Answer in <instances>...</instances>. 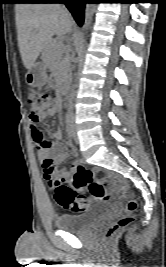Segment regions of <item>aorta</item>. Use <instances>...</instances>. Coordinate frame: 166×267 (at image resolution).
<instances>
[{"label":"aorta","instance_id":"aorta-1","mask_svg":"<svg viewBox=\"0 0 166 267\" xmlns=\"http://www.w3.org/2000/svg\"><path fill=\"white\" fill-rule=\"evenodd\" d=\"M94 12H95V4L87 3L85 7V23H84L85 29H88L90 27Z\"/></svg>","mask_w":166,"mask_h":267}]
</instances>
